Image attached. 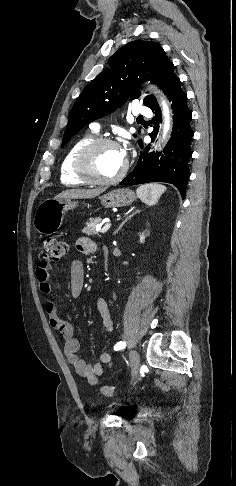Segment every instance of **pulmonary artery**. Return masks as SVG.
Segmentation results:
<instances>
[{
	"label": "pulmonary artery",
	"mask_w": 236,
	"mask_h": 486,
	"mask_svg": "<svg viewBox=\"0 0 236 486\" xmlns=\"http://www.w3.org/2000/svg\"><path fill=\"white\" fill-rule=\"evenodd\" d=\"M134 114L135 115H144V116H150L151 115V110L143 105H138L134 109ZM91 129L95 132H98L100 130V125L97 122H93L90 125Z\"/></svg>",
	"instance_id": "1"
}]
</instances>
